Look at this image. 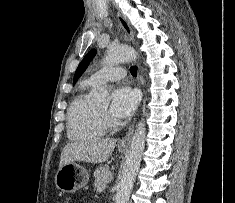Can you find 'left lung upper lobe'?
<instances>
[{
    "mask_svg": "<svg viewBox=\"0 0 235 203\" xmlns=\"http://www.w3.org/2000/svg\"><path fill=\"white\" fill-rule=\"evenodd\" d=\"M95 54H96V50L93 49L89 51L88 54L84 57V59L81 61V63L79 64L75 72L73 84H75L76 81L79 79V77L84 73V71L86 70L87 66L89 65L90 61L93 59Z\"/></svg>",
    "mask_w": 235,
    "mask_h": 203,
    "instance_id": "obj_1",
    "label": "left lung upper lobe"
}]
</instances>
